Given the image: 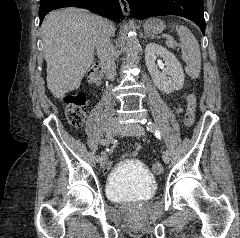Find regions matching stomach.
I'll return each mask as SVG.
<instances>
[{"mask_svg": "<svg viewBox=\"0 0 240 238\" xmlns=\"http://www.w3.org/2000/svg\"><path fill=\"white\" fill-rule=\"evenodd\" d=\"M165 29L163 21L160 19H150L145 21L144 30L146 33L157 34Z\"/></svg>", "mask_w": 240, "mask_h": 238, "instance_id": "obj_1", "label": "stomach"}]
</instances>
